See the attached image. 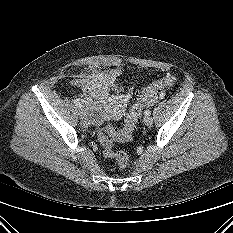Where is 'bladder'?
I'll use <instances>...</instances> for the list:
<instances>
[{
	"label": "bladder",
	"instance_id": "obj_1",
	"mask_svg": "<svg viewBox=\"0 0 233 233\" xmlns=\"http://www.w3.org/2000/svg\"><path fill=\"white\" fill-rule=\"evenodd\" d=\"M83 106L91 124L98 125L104 121L106 113L98 101L87 99L83 101Z\"/></svg>",
	"mask_w": 233,
	"mask_h": 233
}]
</instances>
